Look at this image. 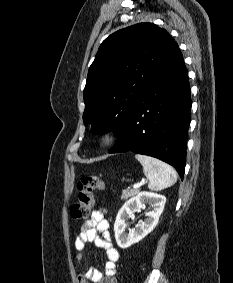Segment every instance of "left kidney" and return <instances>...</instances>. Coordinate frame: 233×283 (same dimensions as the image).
Returning a JSON list of instances; mask_svg holds the SVG:
<instances>
[{
    "label": "left kidney",
    "instance_id": "obj_1",
    "mask_svg": "<svg viewBox=\"0 0 233 283\" xmlns=\"http://www.w3.org/2000/svg\"><path fill=\"white\" fill-rule=\"evenodd\" d=\"M165 203V196L145 191L127 201L119 210L114 224L115 239L118 246L122 249L128 248L147 236L158 224ZM145 204L150 205L149 211L146 213L147 218L144 222H139L136 228L130 230L128 234L125 233L129 218L136 211H141Z\"/></svg>",
    "mask_w": 233,
    "mask_h": 283
}]
</instances>
